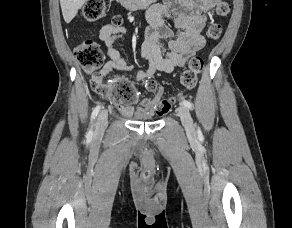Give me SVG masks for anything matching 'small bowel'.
Here are the masks:
<instances>
[{
	"instance_id": "obj_1",
	"label": "small bowel",
	"mask_w": 292,
	"mask_h": 228,
	"mask_svg": "<svg viewBox=\"0 0 292 228\" xmlns=\"http://www.w3.org/2000/svg\"><path fill=\"white\" fill-rule=\"evenodd\" d=\"M216 2L217 0H166L150 9L147 15L149 27L140 50V55L148 66L137 71L135 78L144 82L145 87L153 92V96L140 98L137 108L116 104L124 115L151 117L157 113L164 89L156 83L155 73H172L176 68L184 67L190 56L203 49L205 39L202 31L207 13ZM124 33L125 28L122 25L109 24L100 30L99 39L104 43L108 57L100 70L103 76L113 70H135L114 46Z\"/></svg>"
}]
</instances>
